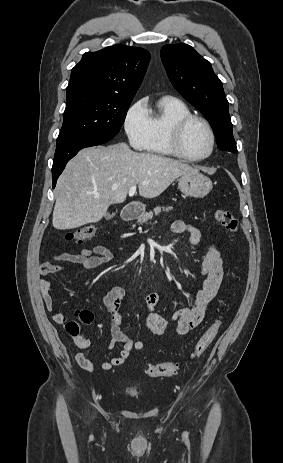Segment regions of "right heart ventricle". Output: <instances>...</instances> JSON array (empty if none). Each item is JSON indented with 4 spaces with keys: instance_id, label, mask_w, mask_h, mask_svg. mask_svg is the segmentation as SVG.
I'll return each instance as SVG.
<instances>
[{
    "instance_id": "obj_1",
    "label": "right heart ventricle",
    "mask_w": 283,
    "mask_h": 463,
    "mask_svg": "<svg viewBox=\"0 0 283 463\" xmlns=\"http://www.w3.org/2000/svg\"><path fill=\"white\" fill-rule=\"evenodd\" d=\"M147 111L149 133L143 149L159 156H174L170 147L171 129L178 120L191 115L189 107L178 98L165 96L157 102L154 109Z\"/></svg>"
}]
</instances>
